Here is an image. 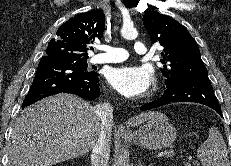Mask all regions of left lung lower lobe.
<instances>
[{
  "label": "left lung lower lobe",
  "mask_w": 231,
  "mask_h": 166,
  "mask_svg": "<svg viewBox=\"0 0 231 166\" xmlns=\"http://www.w3.org/2000/svg\"><path fill=\"white\" fill-rule=\"evenodd\" d=\"M174 102H195L214 109L221 117V107L210 82L182 81L165 90L155 101L141 106V111L150 110Z\"/></svg>",
  "instance_id": "1"
}]
</instances>
